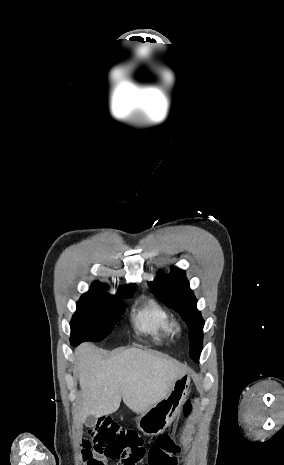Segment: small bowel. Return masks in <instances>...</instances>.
Returning a JSON list of instances; mask_svg holds the SVG:
<instances>
[{
  "mask_svg": "<svg viewBox=\"0 0 284 465\" xmlns=\"http://www.w3.org/2000/svg\"><path fill=\"white\" fill-rule=\"evenodd\" d=\"M103 465H108V463L103 462Z\"/></svg>",
  "mask_w": 284,
  "mask_h": 465,
  "instance_id": "obj_1",
  "label": "small bowel"
}]
</instances>
